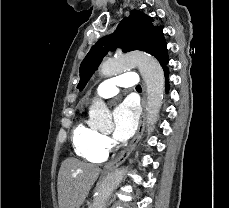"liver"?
<instances>
[{"label":"liver","mask_w":229,"mask_h":208,"mask_svg":"<svg viewBox=\"0 0 229 208\" xmlns=\"http://www.w3.org/2000/svg\"><path fill=\"white\" fill-rule=\"evenodd\" d=\"M100 172L101 168L94 164H84L76 158L64 160L57 182L59 208H80Z\"/></svg>","instance_id":"obj_1"}]
</instances>
